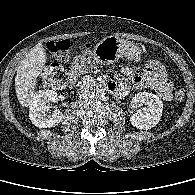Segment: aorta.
<instances>
[{"instance_id":"762f6f07","label":"aorta","mask_w":195,"mask_h":195,"mask_svg":"<svg viewBox=\"0 0 195 195\" xmlns=\"http://www.w3.org/2000/svg\"><path fill=\"white\" fill-rule=\"evenodd\" d=\"M105 94H106L105 89L98 88V89L96 90L95 96H96L97 98L101 99V98H104V97H105Z\"/></svg>"}]
</instances>
